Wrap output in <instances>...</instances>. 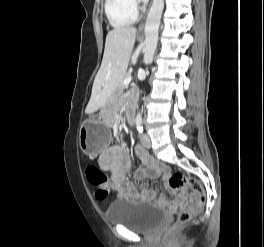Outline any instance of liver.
Returning a JSON list of instances; mask_svg holds the SVG:
<instances>
[{"label":"liver","instance_id":"6515ba94","mask_svg":"<svg viewBox=\"0 0 264 247\" xmlns=\"http://www.w3.org/2000/svg\"><path fill=\"white\" fill-rule=\"evenodd\" d=\"M137 30L120 27L108 32L101 67L95 77L86 113L103 107L126 74Z\"/></svg>","mask_w":264,"mask_h":247}]
</instances>
